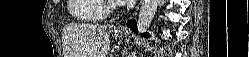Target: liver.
I'll return each instance as SVG.
<instances>
[{
	"label": "liver",
	"mask_w": 249,
	"mask_h": 57,
	"mask_svg": "<svg viewBox=\"0 0 249 57\" xmlns=\"http://www.w3.org/2000/svg\"><path fill=\"white\" fill-rule=\"evenodd\" d=\"M105 25L71 24L64 28L70 57H107L110 40Z\"/></svg>",
	"instance_id": "obj_1"
}]
</instances>
